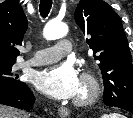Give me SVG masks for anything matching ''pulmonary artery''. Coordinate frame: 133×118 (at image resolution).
Returning <instances> with one entry per match:
<instances>
[{"mask_svg": "<svg viewBox=\"0 0 133 118\" xmlns=\"http://www.w3.org/2000/svg\"><path fill=\"white\" fill-rule=\"evenodd\" d=\"M71 48L69 40L61 39L53 46L36 51L34 57L25 64L37 66L59 61L71 51Z\"/></svg>", "mask_w": 133, "mask_h": 118, "instance_id": "pulmonary-artery-1", "label": "pulmonary artery"}]
</instances>
